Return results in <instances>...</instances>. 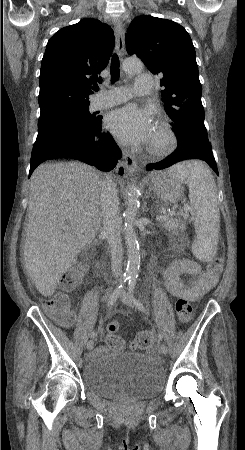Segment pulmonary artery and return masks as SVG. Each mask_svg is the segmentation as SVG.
<instances>
[{"label":"pulmonary artery","mask_w":245,"mask_h":450,"mask_svg":"<svg viewBox=\"0 0 245 450\" xmlns=\"http://www.w3.org/2000/svg\"><path fill=\"white\" fill-rule=\"evenodd\" d=\"M155 83V79L150 74H140L136 77L134 88L138 95H149L152 93V88ZM130 85H124L117 88H111L107 91H101L97 94V98L94 102L96 109L110 107L112 105L123 103L130 99L127 95V90Z\"/></svg>","instance_id":"e3ab8cb5"}]
</instances>
